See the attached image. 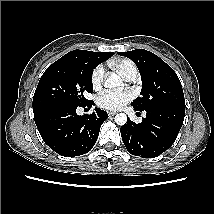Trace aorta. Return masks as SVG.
<instances>
[{
  "label": "aorta",
  "instance_id": "obj_1",
  "mask_svg": "<svg viewBox=\"0 0 214 214\" xmlns=\"http://www.w3.org/2000/svg\"><path fill=\"white\" fill-rule=\"evenodd\" d=\"M122 85V80L121 78L115 74V73H112L105 81L104 83V86L106 88H115V87H118V86H121ZM115 122L116 124L120 125V126H123L126 124L127 122V116L126 114L124 113H119L115 116Z\"/></svg>",
  "mask_w": 214,
  "mask_h": 214
}]
</instances>
